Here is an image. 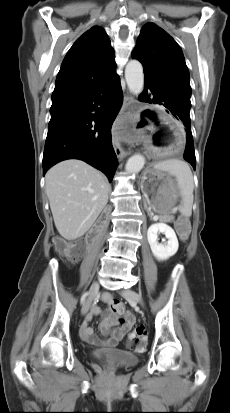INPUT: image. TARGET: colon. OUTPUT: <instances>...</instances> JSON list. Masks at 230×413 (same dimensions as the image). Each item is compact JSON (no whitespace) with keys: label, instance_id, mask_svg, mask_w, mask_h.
Returning <instances> with one entry per match:
<instances>
[{"label":"colon","instance_id":"5ec220e1","mask_svg":"<svg viewBox=\"0 0 230 413\" xmlns=\"http://www.w3.org/2000/svg\"><path fill=\"white\" fill-rule=\"evenodd\" d=\"M176 231L178 233L177 242L179 244H184L186 242V238L190 232L189 223L185 217H180L176 224ZM55 250L62 256H65L70 261L76 260L83 252L82 245H74L72 243L66 242L64 240H57L55 241ZM112 309L115 312L121 313L123 311V307L121 302L118 299H113L110 302ZM146 336V329L142 325H137L132 333L130 334V340L134 344H139L141 341L144 340Z\"/></svg>","mask_w":230,"mask_h":413}]
</instances>
